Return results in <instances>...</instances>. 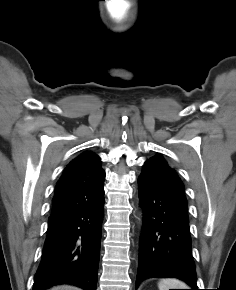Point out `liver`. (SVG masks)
Listing matches in <instances>:
<instances>
[{"label": "liver", "instance_id": "1", "mask_svg": "<svg viewBox=\"0 0 236 290\" xmlns=\"http://www.w3.org/2000/svg\"><path fill=\"white\" fill-rule=\"evenodd\" d=\"M49 290H81V289L74 286H70V285H61V286L53 287Z\"/></svg>", "mask_w": 236, "mask_h": 290}]
</instances>
